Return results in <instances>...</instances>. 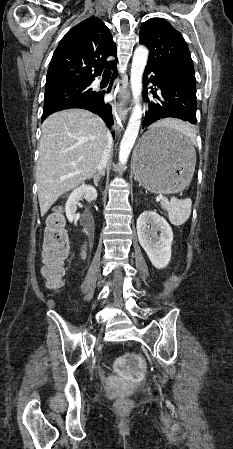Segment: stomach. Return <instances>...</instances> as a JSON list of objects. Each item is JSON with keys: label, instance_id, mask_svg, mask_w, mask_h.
<instances>
[{"label": "stomach", "instance_id": "obj_1", "mask_svg": "<svg viewBox=\"0 0 233 449\" xmlns=\"http://www.w3.org/2000/svg\"><path fill=\"white\" fill-rule=\"evenodd\" d=\"M195 161L194 147L185 133L156 123L146 128L134 150L133 171L149 191L174 193L189 183Z\"/></svg>", "mask_w": 233, "mask_h": 449}]
</instances>
